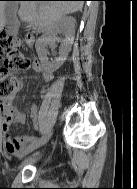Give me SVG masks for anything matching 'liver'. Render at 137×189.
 <instances>
[{"instance_id": "6515ba94", "label": "liver", "mask_w": 137, "mask_h": 189, "mask_svg": "<svg viewBox=\"0 0 137 189\" xmlns=\"http://www.w3.org/2000/svg\"><path fill=\"white\" fill-rule=\"evenodd\" d=\"M8 3L0 1V32L6 24L5 7ZM83 1H21L19 18L29 23L37 32L48 31L64 15L82 10Z\"/></svg>"}]
</instances>
